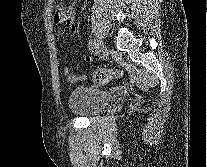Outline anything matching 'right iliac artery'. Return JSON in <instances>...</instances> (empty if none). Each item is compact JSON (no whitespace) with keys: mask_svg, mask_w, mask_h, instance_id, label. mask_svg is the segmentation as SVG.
<instances>
[{"mask_svg":"<svg viewBox=\"0 0 207 167\" xmlns=\"http://www.w3.org/2000/svg\"><path fill=\"white\" fill-rule=\"evenodd\" d=\"M89 50H93L95 48V41L90 40L88 44Z\"/></svg>","mask_w":207,"mask_h":167,"instance_id":"right-iliac-artery-1","label":"right iliac artery"}]
</instances>
